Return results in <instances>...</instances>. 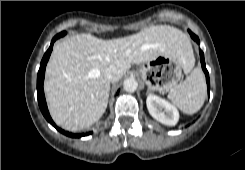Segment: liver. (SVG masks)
<instances>
[{
  "label": "liver",
  "instance_id": "6515ba94",
  "mask_svg": "<svg viewBox=\"0 0 245 170\" xmlns=\"http://www.w3.org/2000/svg\"><path fill=\"white\" fill-rule=\"evenodd\" d=\"M191 51L187 37L168 25L112 40L90 34L71 36L54 46L46 67L44 91L50 114L66 130L88 128L107 108L110 82L104 73L109 67H116L123 76L131 64L173 54L189 72L194 65Z\"/></svg>",
  "mask_w": 245,
  "mask_h": 170
}]
</instances>
